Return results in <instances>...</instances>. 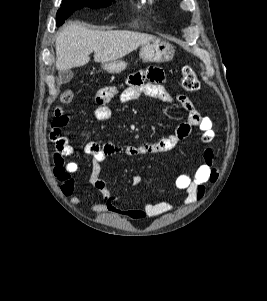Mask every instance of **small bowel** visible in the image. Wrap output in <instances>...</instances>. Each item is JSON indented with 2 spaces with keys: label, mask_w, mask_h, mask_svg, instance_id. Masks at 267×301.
Returning a JSON list of instances; mask_svg holds the SVG:
<instances>
[{
  "label": "small bowel",
  "mask_w": 267,
  "mask_h": 301,
  "mask_svg": "<svg viewBox=\"0 0 267 301\" xmlns=\"http://www.w3.org/2000/svg\"><path fill=\"white\" fill-rule=\"evenodd\" d=\"M164 81V72L159 68L151 67L132 73L120 86H105L96 92L94 116L98 121L110 119L112 109L109 103L116 97L122 103L136 100L141 96H147L168 104L178 102L187 112V121L179 125L173 134L157 142L147 141L139 145L119 146L114 143L90 141L85 145L84 152L92 158L89 184L102 197V200L95 205L96 211H108L133 219H144L161 216L172 207L169 201L163 200L147 202L142 208L119 209L116 205L118 198L111 194L102 177V165L107 158L119 154L138 156L168 152L174 149L182 139H185L193 127H198L201 130L202 141L205 144H211L214 141L213 121L209 117L201 115L185 95L179 94L173 97L163 86ZM54 114L50 132V140L55 146L54 175L60 184L62 193L70 199L72 204H77L79 199L75 194V182L72 174L78 170V166L75 162L66 160L68 156L74 153V149L62 134V129L68 123V117L62 107L57 108ZM203 157V163L197 167L193 174H181L174 181V186L177 189L186 192L185 205L200 201L204 196L205 185L214 183L218 178V171L214 167L213 152L210 147L205 149ZM141 182L142 177L140 175H135L132 179L134 186H138Z\"/></svg>",
  "instance_id": "1"
}]
</instances>
